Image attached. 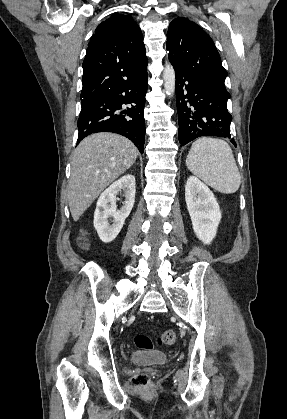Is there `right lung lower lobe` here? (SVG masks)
Returning a JSON list of instances; mask_svg holds the SVG:
<instances>
[{"label":"right lung lower lobe","mask_w":287,"mask_h":419,"mask_svg":"<svg viewBox=\"0 0 287 419\" xmlns=\"http://www.w3.org/2000/svg\"><path fill=\"white\" fill-rule=\"evenodd\" d=\"M147 72L139 78L109 90L81 105L78 143L97 132H113L130 139L143 153L145 142L144 105ZM124 104H129L127 109Z\"/></svg>","instance_id":"98d812e1"}]
</instances>
